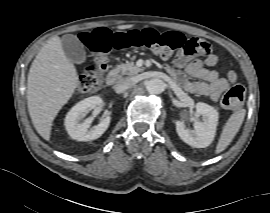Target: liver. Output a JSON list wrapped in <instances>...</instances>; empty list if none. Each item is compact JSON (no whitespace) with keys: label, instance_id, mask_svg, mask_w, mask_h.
Returning a JSON list of instances; mask_svg holds the SVG:
<instances>
[{"label":"liver","instance_id":"6515ba94","mask_svg":"<svg viewBox=\"0 0 270 213\" xmlns=\"http://www.w3.org/2000/svg\"><path fill=\"white\" fill-rule=\"evenodd\" d=\"M132 25H121L124 30ZM78 86L77 70L67 58L58 36L50 38L36 55L28 74L27 104L39 135L49 141L53 120Z\"/></svg>","mask_w":270,"mask_h":213}]
</instances>
